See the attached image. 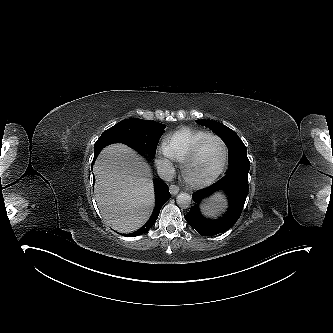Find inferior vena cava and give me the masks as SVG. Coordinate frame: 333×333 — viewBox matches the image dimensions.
<instances>
[{"label":"inferior vena cava","mask_w":333,"mask_h":333,"mask_svg":"<svg viewBox=\"0 0 333 333\" xmlns=\"http://www.w3.org/2000/svg\"><path fill=\"white\" fill-rule=\"evenodd\" d=\"M157 173L162 180L169 182L174 178L175 169L168 159H164L160 160L157 167Z\"/></svg>","instance_id":"inferior-vena-cava-1"}]
</instances>
